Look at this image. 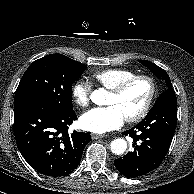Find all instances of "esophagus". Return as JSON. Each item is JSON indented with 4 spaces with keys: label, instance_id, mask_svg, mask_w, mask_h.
<instances>
[{
    "label": "esophagus",
    "instance_id": "esophagus-1",
    "mask_svg": "<svg viewBox=\"0 0 194 194\" xmlns=\"http://www.w3.org/2000/svg\"><path fill=\"white\" fill-rule=\"evenodd\" d=\"M104 137H106V135H104V134H91L92 139H101Z\"/></svg>",
    "mask_w": 194,
    "mask_h": 194
}]
</instances>
